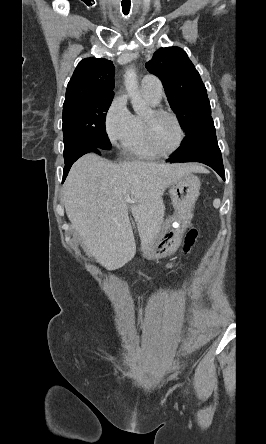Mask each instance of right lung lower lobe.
<instances>
[{
  "label": "right lung lower lobe",
  "instance_id": "98d812e1",
  "mask_svg": "<svg viewBox=\"0 0 266 444\" xmlns=\"http://www.w3.org/2000/svg\"><path fill=\"white\" fill-rule=\"evenodd\" d=\"M89 152H94L97 154H101L102 150L94 147V146H88L83 148L82 150H80L76 156H74L73 158H70L69 160L65 161V167H64V172H63V180L62 182H64L66 176L68 175V172L72 166V164L78 159L80 158L82 155L89 153Z\"/></svg>",
  "mask_w": 266,
  "mask_h": 444
}]
</instances>
